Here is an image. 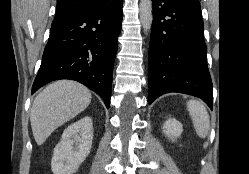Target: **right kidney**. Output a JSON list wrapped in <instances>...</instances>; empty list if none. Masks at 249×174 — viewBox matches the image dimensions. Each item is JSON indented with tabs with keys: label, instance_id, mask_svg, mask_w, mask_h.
<instances>
[{
	"label": "right kidney",
	"instance_id": "ca27d5eb",
	"mask_svg": "<svg viewBox=\"0 0 249 174\" xmlns=\"http://www.w3.org/2000/svg\"><path fill=\"white\" fill-rule=\"evenodd\" d=\"M93 140V122L88 116L69 125L54 148L51 170L54 174H74L89 155Z\"/></svg>",
	"mask_w": 249,
	"mask_h": 174
}]
</instances>
